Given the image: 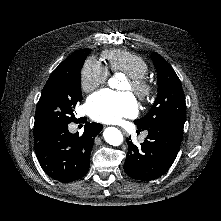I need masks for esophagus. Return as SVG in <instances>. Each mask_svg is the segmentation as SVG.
Listing matches in <instances>:
<instances>
[{
    "label": "esophagus",
    "instance_id": "34e87169",
    "mask_svg": "<svg viewBox=\"0 0 221 221\" xmlns=\"http://www.w3.org/2000/svg\"><path fill=\"white\" fill-rule=\"evenodd\" d=\"M120 130L122 131V133L125 135L126 132L124 131V129L120 128Z\"/></svg>",
    "mask_w": 221,
    "mask_h": 221
}]
</instances>
